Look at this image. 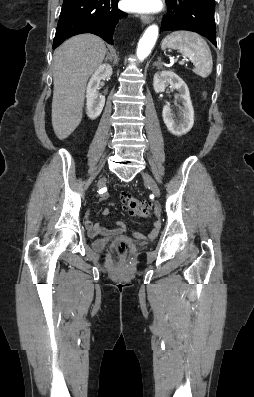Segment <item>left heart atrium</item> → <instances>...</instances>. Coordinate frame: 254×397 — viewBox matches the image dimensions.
Wrapping results in <instances>:
<instances>
[{"label": "left heart atrium", "mask_w": 254, "mask_h": 397, "mask_svg": "<svg viewBox=\"0 0 254 397\" xmlns=\"http://www.w3.org/2000/svg\"><path fill=\"white\" fill-rule=\"evenodd\" d=\"M128 10L135 12H152L160 7V0H125Z\"/></svg>", "instance_id": "obj_1"}]
</instances>
